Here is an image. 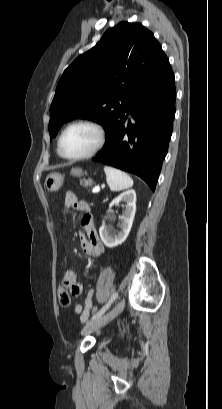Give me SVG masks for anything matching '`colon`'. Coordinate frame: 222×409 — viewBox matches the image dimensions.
Listing matches in <instances>:
<instances>
[{"label": "colon", "mask_w": 222, "mask_h": 409, "mask_svg": "<svg viewBox=\"0 0 222 409\" xmlns=\"http://www.w3.org/2000/svg\"><path fill=\"white\" fill-rule=\"evenodd\" d=\"M74 275L75 274H73V276ZM71 297L72 295H71V289L69 285H65L64 281H62V284L58 290V300H59L60 305L64 307H68L71 303ZM98 310H99L98 306H93L92 309L90 310V313L96 314Z\"/></svg>", "instance_id": "colon-1"}]
</instances>
